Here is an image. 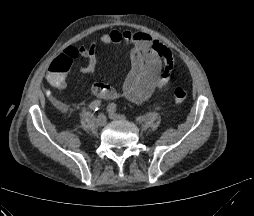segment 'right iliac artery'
Masks as SVG:
<instances>
[{
  "label": "right iliac artery",
  "mask_w": 254,
  "mask_h": 216,
  "mask_svg": "<svg viewBox=\"0 0 254 216\" xmlns=\"http://www.w3.org/2000/svg\"><path fill=\"white\" fill-rule=\"evenodd\" d=\"M101 106V101L99 100H95L93 101L90 105H89V108L90 110L92 111H97Z\"/></svg>",
  "instance_id": "1"
}]
</instances>
